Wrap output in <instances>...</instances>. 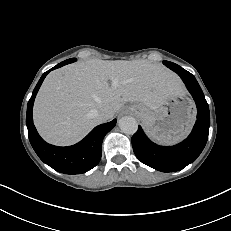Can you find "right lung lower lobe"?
<instances>
[{
	"mask_svg": "<svg viewBox=\"0 0 231 231\" xmlns=\"http://www.w3.org/2000/svg\"><path fill=\"white\" fill-rule=\"evenodd\" d=\"M72 62L73 59L65 60L42 75L27 105L26 125L30 143L44 163L64 174H81L91 170L99 163L102 155L103 138L115 126L116 119L98 125L75 145L57 147L46 143L39 136L32 118L34 99L46 75L51 70Z\"/></svg>",
	"mask_w": 231,
	"mask_h": 231,
	"instance_id": "1",
	"label": "right lung lower lobe"
}]
</instances>
